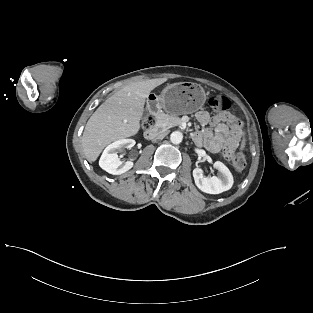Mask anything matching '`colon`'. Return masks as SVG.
Wrapping results in <instances>:
<instances>
[{
	"mask_svg": "<svg viewBox=\"0 0 313 313\" xmlns=\"http://www.w3.org/2000/svg\"><path fill=\"white\" fill-rule=\"evenodd\" d=\"M209 106L218 112H225L231 107V101L229 98L223 95H212L208 101ZM155 124L154 117L152 115L146 116L142 121V127L149 129ZM226 159H228L236 171L241 172L246 167V158L244 154L236 148L227 146L223 152Z\"/></svg>",
	"mask_w": 313,
	"mask_h": 313,
	"instance_id": "5ec220e1",
	"label": "colon"
}]
</instances>
